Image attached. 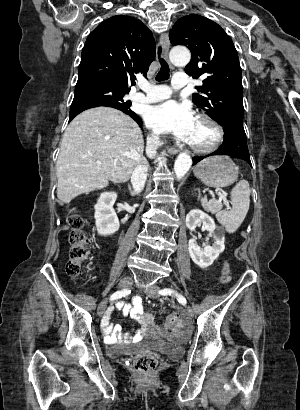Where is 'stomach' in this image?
Here are the masks:
<instances>
[{
  "label": "stomach",
  "instance_id": "0dacf381",
  "mask_svg": "<svg viewBox=\"0 0 300 410\" xmlns=\"http://www.w3.org/2000/svg\"><path fill=\"white\" fill-rule=\"evenodd\" d=\"M194 174L211 187H226L237 180L238 167L226 156H214L197 164Z\"/></svg>",
  "mask_w": 300,
  "mask_h": 410
}]
</instances>
